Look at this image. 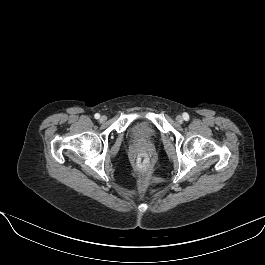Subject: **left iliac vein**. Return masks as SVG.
I'll list each match as a JSON object with an SVG mask.
<instances>
[{
    "label": "left iliac vein",
    "instance_id": "left-iliac-vein-1",
    "mask_svg": "<svg viewBox=\"0 0 265 265\" xmlns=\"http://www.w3.org/2000/svg\"><path fill=\"white\" fill-rule=\"evenodd\" d=\"M183 117L181 116V115H178L177 117H176V121L178 122V123H182L183 122Z\"/></svg>",
    "mask_w": 265,
    "mask_h": 265
}]
</instances>
